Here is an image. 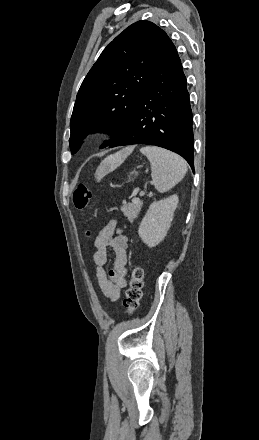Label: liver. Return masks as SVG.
<instances>
[{
	"instance_id": "1",
	"label": "liver",
	"mask_w": 259,
	"mask_h": 440,
	"mask_svg": "<svg viewBox=\"0 0 259 440\" xmlns=\"http://www.w3.org/2000/svg\"><path fill=\"white\" fill-rule=\"evenodd\" d=\"M133 150V147H129L126 149H123L122 151H119L113 155H109L106 157L100 164V166L97 169V176L98 178H102L105 176L109 171H112L116 169L118 166H120L123 161L126 159L129 153Z\"/></svg>"
}]
</instances>
